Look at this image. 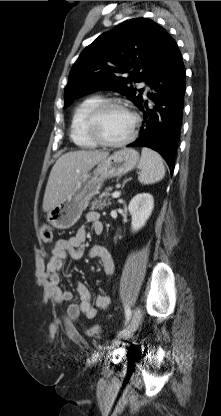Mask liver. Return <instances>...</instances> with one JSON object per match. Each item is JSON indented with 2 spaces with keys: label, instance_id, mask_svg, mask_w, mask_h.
Instances as JSON below:
<instances>
[{
  "label": "liver",
  "instance_id": "1",
  "mask_svg": "<svg viewBox=\"0 0 221 416\" xmlns=\"http://www.w3.org/2000/svg\"><path fill=\"white\" fill-rule=\"evenodd\" d=\"M108 156V152L98 150H79L63 154L50 172L43 211L49 212L63 201L79 179Z\"/></svg>",
  "mask_w": 221,
  "mask_h": 416
}]
</instances>
